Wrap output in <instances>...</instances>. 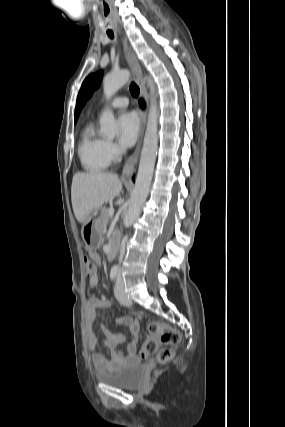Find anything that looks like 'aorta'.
<instances>
[{
	"instance_id": "762f6f07",
	"label": "aorta",
	"mask_w": 285,
	"mask_h": 427,
	"mask_svg": "<svg viewBox=\"0 0 285 427\" xmlns=\"http://www.w3.org/2000/svg\"><path fill=\"white\" fill-rule=\"evenodd\" d=\"M130 78L128 70L109 74L103 79V91L107 99H110ZM150 88L151 100L148 112L146 132L141 151L138 172L128 212L124 218V226L130 227L139 217L141 208L148 196L153 170L158 149V112L155 100V86L150 77L147 78ZM100 132L103 136L112 139L118 133V125L110 110H105L100 118Z\"/></svg>"
}]
</instances>
